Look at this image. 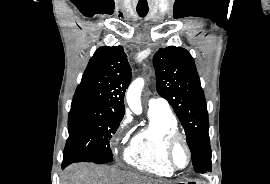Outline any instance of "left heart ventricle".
<instances>
[{
    "instance_id": "1",
    "label": "left heart ventricle",
    "mask_w": 270,
    "mask_h": 184,
    "mask_svg": "<svg viewBox=\"0 0 270 184\" xmlns=\"http://www.w3.org/2000/svg\"><path fill=\"white\" fill-rule=\"evenodd\" d=\"M173 160L174 163L178 166V167H184L187 163V152L184 148V146L182 145V143H178L175 146V149L173 151Z\"/></svg>"
}]
</instances>
